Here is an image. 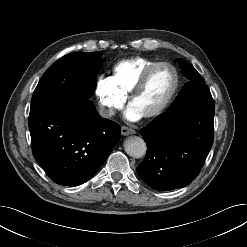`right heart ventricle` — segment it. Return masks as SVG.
Instances as JSON below:
<instances>
[{
	"mask_svg": "<svg viewBox=\"0 0 247 247\" xmlns=\"http://www.w3.org/2000/svg\"><path fill=\"white\" fill-rule=\"evenodd\" d=\"M156 60L136 56L118 61L111 70L109 80L113 87L126 97L143 70Z\"/></svg>",
	"mask_w": 247,
	"mask_h": 247,
	"instance_id": "1",
	"label": "right heart ventricle"
}]
</instances>
